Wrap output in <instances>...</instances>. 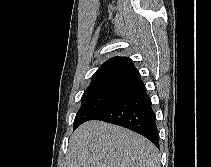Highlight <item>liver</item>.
<instances>
[{
  "label": "liver",
  "mask_w": 211,
  "mask_h": 167,
  "mask_svg": "<svg viewBox=\"0 0 211 167\" xmlns=\"http://www.w3.org/2000/svg\"><path fill=\"white\" fill-rule=\"evenodd\" d=\"M67 167H160L158 149L120 126L88 121L72 134Z\"/></svg>",
  "instance_id": "obj_1"
}]
</instances>
